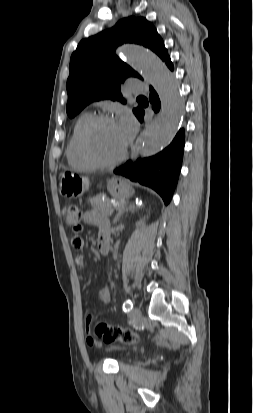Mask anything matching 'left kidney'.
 I'll return each instance as SVG.
<instances>
[{"label": "left kidney", "instance_id": "5707ae66", "mask_svg": "<svg viewBox=\"0 0 253 413\" xmlns=\"http://www.w3.org/2000/svg\"><path fill=\"white\" fill-rule=\"evenodd\" d=\"M143 224H144V220H141V221L136 223V226L138 227V226L143 225Z\"/></svg>", "mask_w": 253, "mask_h": 413}]
</instances>
